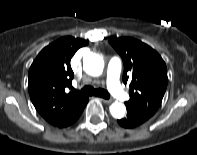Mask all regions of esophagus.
I'll list each match as a JSON object with an SVG mask.
<instances>
[{"instance_id": "1", "label": "esophagus", "mask_w": 197, "mask_h": 155, "mask_svg": "<svg viewBox=\"0 0 197 155\" xmlns=\"http://www.w3.org/2000/svg\"><path fill=\"white\" fill-rule=\"evenodd\" d=\"M100 101H102L103 103H110V100L104 99V98H99Z\"/></svg>"}]
</instances>
